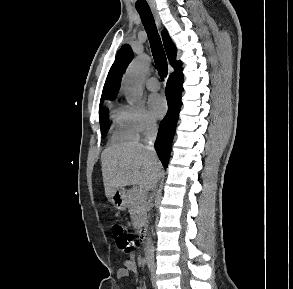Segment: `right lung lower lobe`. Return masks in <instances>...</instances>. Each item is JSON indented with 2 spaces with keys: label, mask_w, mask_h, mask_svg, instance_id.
<instances>
[{
  "label": "right lung lower lobe",
  "mask_w": 293,
  "mask_h": 289,
  "mask_svg": "<svg viewBox=\"0 0 293 289\" xmlns=\"http://www.w3.org/2000/svg\"><path fill=\"white\" fill-rule=\"evenodd\" d=\"M182 83L183 76L170 75L165 89L168 102V112L160 123L157 139L155 142V149L157 151L158 157L165 168H167L168 165L172 138L174 136L180 107L182 105Z\"/></svg>",
  "instance_id": "98d812e1"
}]
</instances>
